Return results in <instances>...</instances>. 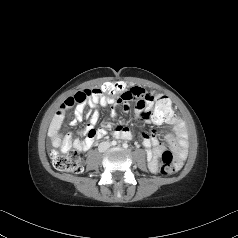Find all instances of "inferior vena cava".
Returning <instances> with one entry per match:
<instances>
[{"instance_id": "1", "label": "inferior vena cava", "mask_w": 238, "mask_h": 238, "mask_svg": "<svg viewBox=\"0 0 238 238\" xmlns=\"http://www.w3.org/2000/svg\"><path fill=\"white\" fill-rule=\"evenodd\" d=\"M109 147H110L109 142H102V143H100L98 149L100 152H103V151L107 150Z\"/></svg>"}]
</instances>
